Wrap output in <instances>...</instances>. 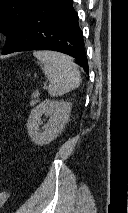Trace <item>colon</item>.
<instances>
[{
  "label": "colon",
  "mask_w": 128,
  "mask_h": 213,
  "mask_svg": "<svg viewBox=\"0 0 128 213\" xmlns=\"http://www.w3.org/2000/svg\"><path fill=\"white\" fill-rule=\"evenodd\" d=\"M7 197H8L7 191L0 192V207L6 201Z\"/></svg>",
  "instance_id": "5ec220e1"
}]
</instances>
